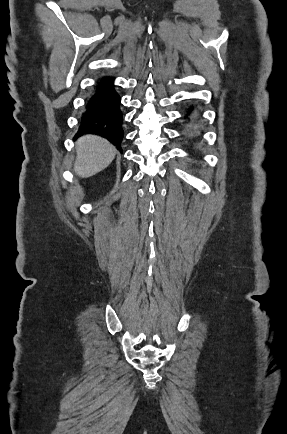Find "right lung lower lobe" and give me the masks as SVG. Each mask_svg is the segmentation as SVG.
Segmentation results:
<instances>
[{
    "mask_svg": "<svg viewBox=\"0 0 287 434\" xmlns=\"http://www.w3.org/2000/svg\"><path fill=\"white\" fill-rule=\"evenodd\" d=\"M114 78L103 77L94 88L81 117L78 135L96 134L108 139L121 150L123 116L120 96L114 87Z\"/></svg>",
    "mask_w": 287,
    "mask_h": 434,
    "instance_id": "1",
    "label": "right lung lower lobe"
}]
</instances>
